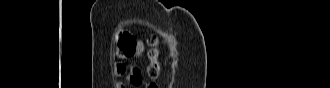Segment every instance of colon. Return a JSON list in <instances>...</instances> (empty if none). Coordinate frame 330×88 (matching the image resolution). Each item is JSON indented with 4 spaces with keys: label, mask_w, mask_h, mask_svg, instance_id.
Instances as JSON below:
<instances>
[{
    "label": "colon",
    "mask_w": 330,
    "mask_h": 88,
    "mask_svg": "<svg viewBox=\"0 0 330 88\" xmlns=\"http://www.w3.org/2000/svg\"><path fill=\"white\" fill-rule=\"evenodd\" d=\"M135 37L129 31H122L117 37L118 55L123 58H129L135 53ZM150 46L147 55L149 63L147 65V75L155 79L160 73V41L157 37H150L148 40ZM153 86H149L152 88Z\"/></svg>",
    "instance_id": "obj_1"
}]
</instances>
